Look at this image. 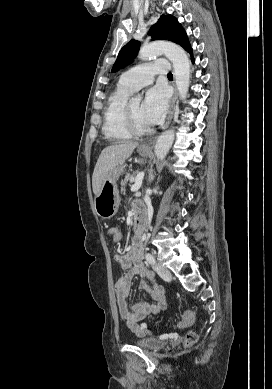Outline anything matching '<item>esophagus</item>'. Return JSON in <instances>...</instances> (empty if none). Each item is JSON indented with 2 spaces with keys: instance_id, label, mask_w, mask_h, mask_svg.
<instances>
[{
  "instance_id": "1",
  "label": "esophagus",
  "mask_w": 272,
  "mask_h": 389,
  "mask_svg": "<svg viewBox=\"0 0 272 389\" xmlns=\"http://www.w3.org/2000/svg\"><path fill=\"white\" fill-rule=\"evenodd\" d=\"M173 86H174V94H173V98L171 100V105H170V112H169V116H168V119H167V122L166 124L163 126V129H166L170 123H171V120L173 118V113H174V108H175V102H176V99H177V89H176V86H175V81L173 82ZM155 142V139H152L150 140L148 143L146 144H143L142 147L143 148H150L152 147V145L154 144Z\"/></svg>"
}]
</instances>
